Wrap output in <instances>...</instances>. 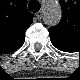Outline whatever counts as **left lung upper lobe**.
Returning a JSON list of instances; mask_svg holds the SVG:
<instances>
[{
    "mask_svg": "<svg viewBox=\"0 0 80 80\" xmlns=\"http://www.w3.org/2000/svg\"><path fill=\"white\" fill-rule=\"evenodd\" d=\"M60 4L63 11L62 20L57 26L49 29V34L53 40H55V35H57L58 40L68 44L72 37L79 36L80 22L79 19L75 17L71 9L67 7V2L60 1Z\"/></svg>",
    "mask_w": 80,
    "mask_h": 80,
    "instance_id": "1",
    "label": "left lung upper lobe"
}]
</instances>
